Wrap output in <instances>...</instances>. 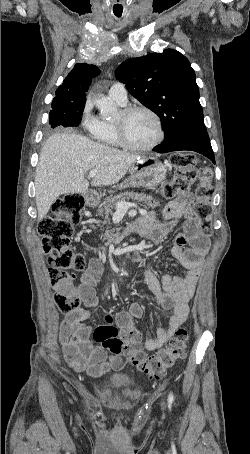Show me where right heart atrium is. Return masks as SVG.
Here are the masks:
<instances>
[{
  "label": "right heart atrium",
  "instance_id": "right-heart-atrium-1",
  "mask_svg": "<svg viewBox=\"0 0 250 454\" xmlns=\"http://www.w3.org/2000/svg\"><path fill=\"white\" fill-rule=\"evenodd\" d=\"M97 117L91 113V105L87 102L84 106L82 125L90 133H92L97 127Z\"/></svg>",
  "mask_w": 250,
  "mask_h": 454
}]
</instances>
